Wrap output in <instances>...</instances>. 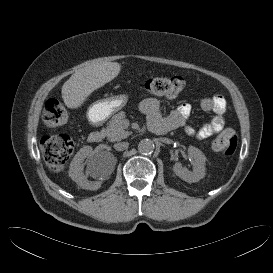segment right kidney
<instances>
[{"label": "right kidney", "mask_w": 273, "mask_h": 273, "mask_svg": "<svg viewBox=\"0 0 273 273\" xmlns=\"http://www.w3.org/2000/svg\"><path fill=\"white\" fill-rule=\"evenodd\" d=\"M92 155V148L90 146H85L81 148L77 154L74 156L73 160L71 161L70 168H69V176L73 181H75L80 187L90 190H95L98 188L97 185L89 183L87 177L83 174V162L86 158L91 157ZM103 164L97 160L92 159L90 161V168L89 172H93L95 169H100L104 171Z\"/></svg>", "instance_id": "right-kidney-1"}]
</instances>
